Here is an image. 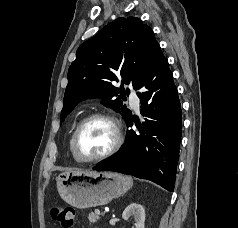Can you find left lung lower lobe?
<instances>
[{"instance_id":"left-lung-lower-lobe-1","label":"left lung lower lobe","mask_w":238,"mask_h":228,"mask_svg":"<svg viewBox=\"0 0 238 228\" xmlns=\"http://www.w3.org/2000/svg\"><path fill=\"white\" fill-rule=\"evenodd\" d=\"M140 113L145 116L140 134L129 129L119 152L94 170H107L147 179L173 191L181 141V105L168 61L160 47L146 66L137 87ZM136 123L131 115L128 127Z\"/></svg>"}]
</instances>
